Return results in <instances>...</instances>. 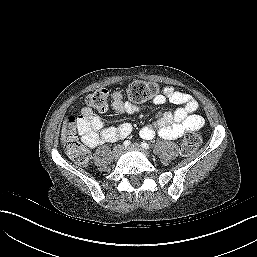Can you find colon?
<instances>
[{
	"instance_id": "obj_1",
	"label": "colon",
	"mask_w": 257,
	"mask_h": 257,
	"mask_svg": "<svg viewBox=\"0 0 257 257\" xmlns=\"http://www.w3.org/2000/svg\"><path fill=\"white\" fill-rule=\"evenodd\" d=\"M126 95L135 102L154 99L159 95V88L153 82L134 81L126 88ZM109 94L106 89H98L86 99V108L91 111L104 113L108 109ZM78 117L71 115L66 122L65 148L71 160L77 164H86L89 161V151L80 143L76 135ZM201 144L198 133L189 134L180 146V152L184 156L194 153Z\"/></svg>"
}]
</instances>
